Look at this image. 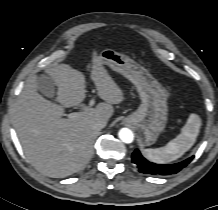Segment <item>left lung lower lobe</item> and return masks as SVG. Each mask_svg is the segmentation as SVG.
<instances>
[{
    "mask_svg": "<svg viewBox=\"0 0 218 210\" xmlns=\"http://www.w3.org/2000/svg\"><path fill=\"white\" fill-rule=\"evenodd\" d=\"M192 159L193 156L180 163H176L172 165H163V164H155L147 161L141 155L138 149H136L132 154V162L137 166L139 171L144 174H152V175L175 174L179 172L181 169H183L185 166H187Z\"/></svg>",
    "mask_w": 218,
    "mask_h": 210,
    "instance_id": "1",
    "label": "left lung lower lobe"
}]
</instances>
